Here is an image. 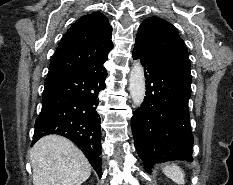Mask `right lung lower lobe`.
I'll list each match as a JSON object with an SVG mask.
<instances>
[{
    "label": "right lung lower lobe",
    "instance_id": "98d812e1",
    "mask_svg": "<svg viewBox=\"0 0 233 185\" xmlns=\"http://www.w3.org/2000/svg\"><path fill=\"white\" fill-rule=\"evenodd\" d=\"M106 77L103 66L48 76L32 143L47 134L72 140L99 177L102 176L101 126L96 106L99 91L105 89Z\"/></svg>",
    "mask_w": 233,
    "mask_h": 185
}]
</instances>
